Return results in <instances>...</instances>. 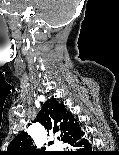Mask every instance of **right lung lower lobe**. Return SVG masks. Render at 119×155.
<instances>
[{
    "label": "right lung lower lobe",
    "instance_id": "obj_1",
    "mask_svg": "<svg viewBox=\"0 0 119 155\" xmlns=\"http://www.w3.org/2000/svg\"><path fill=\"white\" fill-rule=\"evenodd\" d=\"M83 135L84 132L80 128L66 141L71 150L61 153L60 155H96V152L92 150V145Z\"/></svg>",
    "mask_w": 119,
    "mask_h": 155
}]
</instances>
